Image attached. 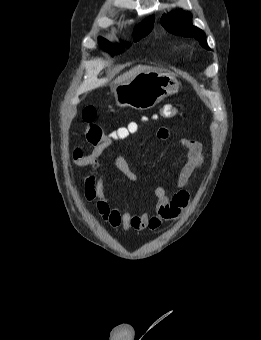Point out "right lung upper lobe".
<instances>
[{
    "instance_id": "cb5924a9",
    "label": "right lung upper lobe",
    "mask_w": 261,
    "mask_h": 340,
    "mask_svg": "<svg viewBox=\"0 0 261 340\" xmlns=\"http://www.w3.org/2000/svg\"><path fill=\"white\" fill-rule=\"evenodd\" d=\"M150 22H154V17L153 16H151L148 19H146L145 21H143L142 24L150 23Z\"/></svg>"
}]
</instances>
